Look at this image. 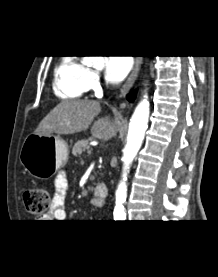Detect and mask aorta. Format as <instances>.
<instances>
[{
    "label": "aorta",
    "instance_id": "1",
    "mask_svg": "<svg viewBox=\"0 0 218 277\" xmlns=\"http://www.w3.org/2000/svg\"><path fill=\"white\" fill-rule=\"evenodd\" d=\"M88 61L92 63L95 67L102 66L104 64L103 56H89ZM150 113V104L147 100V95L144 96L139 104L136 106L135 111L131 117L129 123V130L127 136V143L123 150V173L122 180L118 184L116 190V205L114 208V218L123 220L126 217L124 210V202L127 197V174L130 169V165L135 158L137 152L139 151L145 132L148 127V118Z\"/></svg>",
    "mask_w": 218,
    "mask_h": 277
}]
</instances>
